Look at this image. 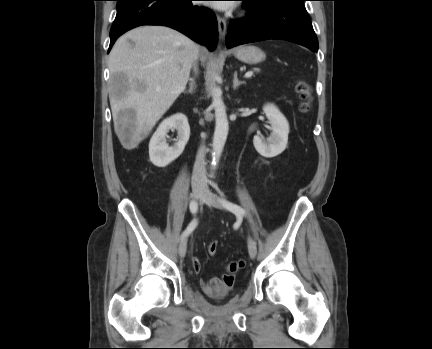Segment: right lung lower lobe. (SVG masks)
<instances>
[{
    "mask_svg": "<svg viewBox=\"0 0 432 349\" xmlns=\"http://www.w3.org/2000/svg\"><path fill=\"white\" fill-rule=\"evenodd\" d=\"M116 18L110 31V46L126 31L142 25H163L180 31L211 51L218 40L217 20L212 11L193 0H117Z\"/></svg>",
    "mask_w": 432,
    "mask_h": 349,
    "instance_id": "right-lung-lower-lobe-1",
    "label": "right lung lower lobe"
}]
</instances>
